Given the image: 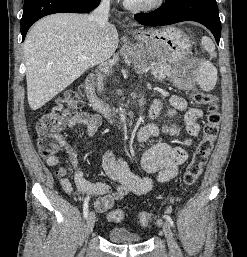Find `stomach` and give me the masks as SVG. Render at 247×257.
I'll return each mask as SVG.
<instances>
[{"instance_id":"obj_1","label":"stomach","mask_w":247,"mask_h":257,"mask_svg":"<svg viewBox=\"0 0 247 257\" xmlns=\"http://www.w3.org/2000/svg\"><path fill=\"white\" fill-rule=\"evenodd\" d=\"M133 37L137 41L134 59L146 67L152 63L174 65L190 52L187 36L174 27L136 31Z\"/></svg>"}]
</instances>
